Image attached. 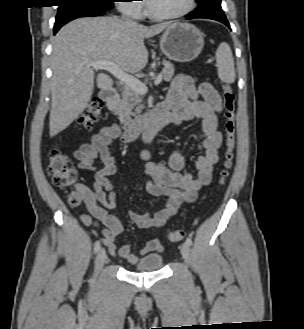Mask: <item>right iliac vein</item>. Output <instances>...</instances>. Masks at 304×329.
I'll return each mask as SVG.
<instances>
[{
    "label": "right iliac vein",
    "mask_w": 304,
    "mask_h": 329,
    "mask_svg": "<svg viewBox=\"0 0 304 329\" xmlns=\"http://www.w3.org/2000/svg\"><path fill=\"white\" fill-rule=\"evenodd\" d=\"M105 259H106V251L104 248H101L97 254L96 261H95L94 277H96L97 274L99 273V271L101 270V268L105 262Z\"/></svg>",
    "instance_id": "1"
}]
</instances>
